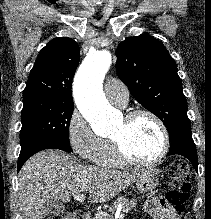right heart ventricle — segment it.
<instances>
[{"instance_id": "e07e8e85", "label": "right heart ventricle", "mask_w": 211, "mask_h": 219, "mask_svg": "<svg viewBox=\"0 0 211 219\" xmlns=\"http://www.w3.org/2000/svg\"><path fill=\"white\" fill-rule=\"evenodd\" d=\"M95 162L102 167H118L122 163L117 159L111 141H105L100 153L97 155Z\"/></svg>"}]
</instances>
